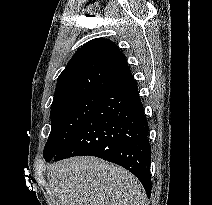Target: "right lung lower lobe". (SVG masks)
<instances>
[{"label": "right lung lower lobe", "instance_id": "98d812e1", "mask_svg": "<svg viewBox=\"0 0 212 205\" xmlns=\"http://www.w3.org/2000/svg\"><path fill=\"white\" fill-rule=\"evenodd\" d=\"M148 131L137 84L128 72L104 90L92 114L52 160L91 155L116 163L140 180L149 198L152 186Z\"/></svg>", "mask_w": 212, "mask_h": 205}]
</instances>
